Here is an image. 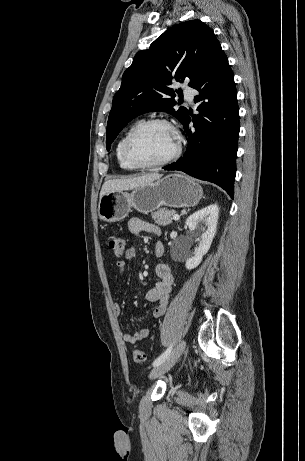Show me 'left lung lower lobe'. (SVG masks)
<instances>
[{"label":"left lung lower lobe","instance_id":"1","mask_svg":"<svg viewBox=\"0 0 305 461\" xmlns=\"http://www.w3.org/2000/svg\"><path fill=\"white\" fill-rule=\"evenodd\" d=\"M193 88L199 91L195 96L199 115L191 118L187 114L182 122L187 132V151L178 161L163 168L213 182L233 198L239 108L234 75L223 50Z\"/></svg>","mask_w":305,"mask_h":461}]
</instances>
